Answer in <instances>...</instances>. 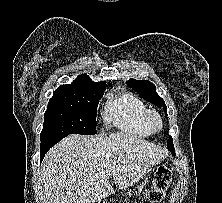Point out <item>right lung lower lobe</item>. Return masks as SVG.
<instances>
[{
	"instance_id": "1",
	"label": "right lung lower lobe",
	"mask_w": 222,
	"mask_h": 203,
	"mask_svg": "<svg viewBox=\"0 0 222 203\" xmlns=\"http://www.w3.org/2000/svg\"><path fill=\"white\" fill-rule=\"evenodd\" d=\"M63 138H49L45 140H41L40 147V160H42L47 153V151L54 146L57 142H59Z\"/></svg>"
}]
</instances>
